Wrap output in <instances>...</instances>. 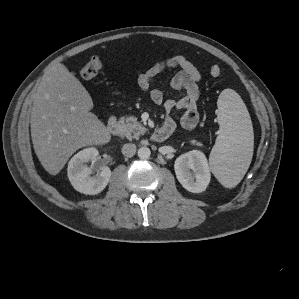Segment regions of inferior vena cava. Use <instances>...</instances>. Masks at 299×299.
Returning <instances> with one entry per match:
<instances>
[{
	"label": "inferior vena cava",
	"instance_id": "obj_1",
	"mask_svg": "<svg viewBox=\"0 0 299 299\" xmlns=\"http://www.w3.org/2000/svg\"><path fill=\"white\" fill-rule=\"evenodd\" d=\"M136 153V145L132 143L124 144L122 147V154L126 157H132Z\"/></svg>",
	"mask_w": 299,
	"mask_h": 299
}]
</instances>
